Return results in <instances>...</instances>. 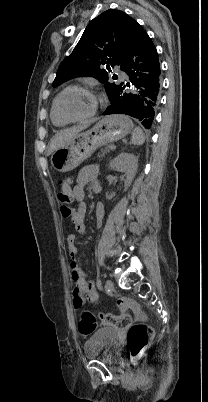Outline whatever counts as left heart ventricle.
I'll return each instance as SVG.
<instances>
[{
  "instance_id": "obj_1",
  "label": "left heart ventricle",
  "mask_w": 208,
  "mask_h": 402,
  "mask_svg": "<svg viewBox=\"0 0 208 402\" xmlns=\"http://www.w3.org/2000/svg\"><path fill=\"white\" fill-rule=\"evenodd\" d=\"M97 97L92 92L72 89L63 94L59 100L61 110L69 117H80L89 113Z\"/></svg>"
}]
</instances>
